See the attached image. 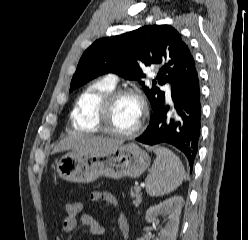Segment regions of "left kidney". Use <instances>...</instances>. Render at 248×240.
<instances>
[{
  "label": "left kidney",
  "mask_w": 248,
  "mask_h": 240,
  "mask_svg": "<svg viewBox=\"0 0 248 240\" xmlns=\"http://www.w3.org/2000/svg\"><path fill=\"white\" fill-rule=\"evenodd\" d=\"M182 206L183 198L174 196L147 210L145 219L149 223L156 222L159 215H168L167 224L161 229L157 240H176ZM137 240H144V238Z\"/></svg>",
  "instance_id": "5707ae66"
}]
</instances>
